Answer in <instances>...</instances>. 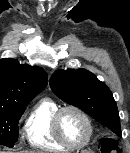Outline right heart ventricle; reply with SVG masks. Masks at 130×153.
Returning <instances> with one entry per match:
<instances>
[{
  "label": "right heart ventricle",
  "instance_id": "right-heart-ventricle-1",
  "mask_svg": "<svg viewBox=\"0 0 130 153\" xmlns=\"http://www.w3.org/2000/svg\"><path fill=\"white\" fill-rule=\"evenodd\" d=\"M60 105L51 98L39 100L29 112L23 127V137L38 150L65 152L70 149L59 142L52 127V120Z\"/></svg>",
  "mask_w": 130,
  "mask_h": 153
}]
</instances>
